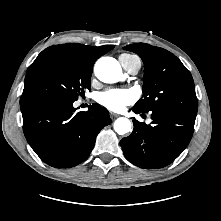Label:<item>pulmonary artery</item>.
I'll return each mask as SVG.
<instances>
[{"instance_id": "obj_1", "label": "pulmonary artery", "mask_w": 221, "mask_h": 221, "mask_svg": "<svg viewBox=\"0 0 221 221\" xmlns=\"http://www.w3.org/2000/svg\"><path fill=\"white\" fill-rule=\"evenodd\" d=\"M119 62L122 65L123 69L131 75L137 74L141 67V61L138 57L127 58L120 56Z\"/></svg>"}]
</instances>
